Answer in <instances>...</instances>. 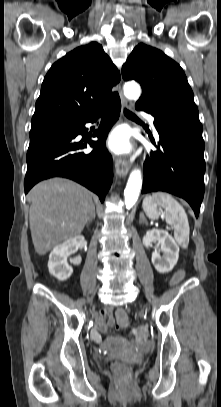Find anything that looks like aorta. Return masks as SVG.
<instances>
[{"label":"aorta","instance_id":"762f6f07","mask_svg":"<svg viewBox=\"0 0 221 407\" xmlns=\"http://www.w3.org/2000/svg\"><path fill=\"white\" fill-rule=\"evenodd\" d=\"M124 94L127 98L137 100L141 95L140 86L132 81L124 85ZM142 188V176L139 169H134L128 179L124 190V201L127 209L136 203Z\"/></svg>","mask_w":221,"mask_h":407}]
</instances>
